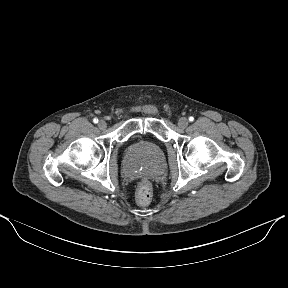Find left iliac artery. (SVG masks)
Listing matches in <instances>:
<instances>
[{
  "label": "left iliac artery",
  "mask_w": 288,
  "mask_h": 288,
  "mask_svg": "<svg viewBox=\"0 0 288 288\" xmlns=\"http://www.w3.org/2000/svg\"><path fill=\"white\" fill-rule=\"evenodd\" d=\"M189 121H190V122L194 121V118H193L192 116L189 117Z\"/></svg>",
  "instance_id": "44dca946"
}]
</instances>
